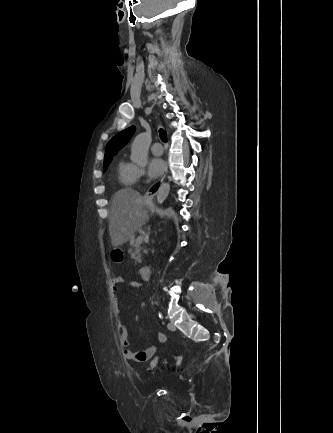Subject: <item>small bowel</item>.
I'll return each instance as SVG.
<instances>
[{"mask_svg":"<svg viewBox=\"0 0 333 433\" xmlns=\"http://www.w3.org/2000/svg\"><path fill=\"white\" fill-rule=\"evenodd\" d=\"M125 282L126 281H125L124 277H122L120 275L114 276L111 280L113 291L116 294H118L120 291V285L125 283ZM128 285L131 287H138L139 282L138 281H131L128 283ZM114 311L117 315H119L121 313V309H120L119 301H118L117 297H116V301L114 304ZM118 329H119V335H120V344L124 348L123 355L127 360L134 361V362H145V361L152 359L153 356L156 354L159 346L166 343V341H167V336L164 333H161V332L157 333L156 342L154 344L150 345L149 347H147L143 351L136 352L130 348L131 341H130V337H129V333H128L127 328L123 324H120Z\"/></svg>","mask_w":333,"mask_h":433,"instance_id":"obj_1","label":"small bowel"}]
</instances>
